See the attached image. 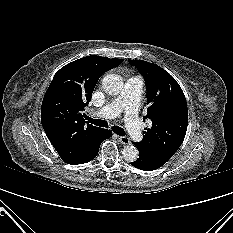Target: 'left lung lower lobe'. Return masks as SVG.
Wrapping results in <instances>:
<instances>
[{"label": "left lung lower lobe", "instance_id": "0a47b994", "mask_svg": "<svg viewBox=\"0 0 233 233\" xmlns=\"http://www.w3.org/2000/svg\"><path fill=\"white\" fill-rule=\"evenodd\" d=\"M133 144L136 146L135 143ZM138 151H139V158H137L135 161L131 163L134 167L138 169L145 171H152L158 169L159 167L165 164V162H162L156 159L155 157L146 154L143 150L139 148Z\"/></svg>", "mask_w": 233, "mask_h": 233}]
</instances>
